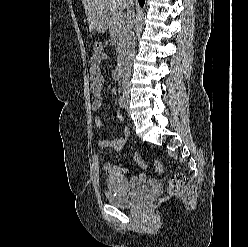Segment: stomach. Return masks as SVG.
I'll return each instance as SVG.
<instances>
[{
	"label": "stomach",
	"mask_w": 248,
	"mask_h": 247,
	"mask_svg": "<svg viewBox=\"0 0 248 247\" xmlns=\"http://www.w3.org/2000/svg\"><path fill=\"white\" fill-rule=\"evenodd\" d=\"M108 25H109V19L107 15H104L98 20L94 30L98 33H104L107 30Z\"/></svg>",
	"instance_id": "1"
}]
</instances>
